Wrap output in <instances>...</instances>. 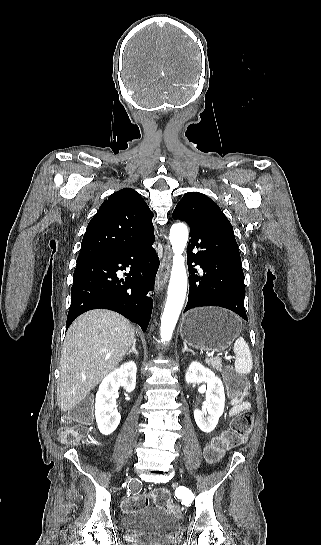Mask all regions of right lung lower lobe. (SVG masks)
I'll list each match as a JSON object with an SVG mask.
<instances>
[{
  "label": "right lung lower lobe",
  "instance_id": "obj_1",
  "mask_svg": "<svg viewBox=\"0 0 321 545\" xmlns=\"http://www.w3.org/2000/svg\"><path fill=\"white\" fill-rule=\"evenodd\" d=\"M154 238L152 235L116 254L77 262L67 329L80 314L104 308L120 313L146 331L152 311V299L147 294L153 288L159 267L152 247ZM128 266L130 271L125 273V281L119 280L116 271Z\"/></svg>",
  "mask_w": 321,
  "mask_h": 545
}]
</instances>
